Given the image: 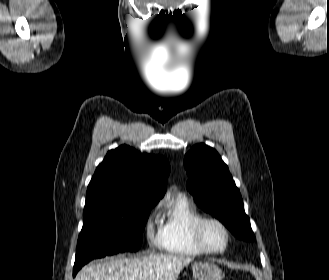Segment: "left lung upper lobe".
Segmentation results:
<instances>
[{"label":"left lung upper lobe","mask_w":329,"mask_h":280,"mask_svg":"<svg viewBox=\"0 0 329 280\" xmlns=\"http://www.w3.org/2000/svg\"><path fill=\"white\" fill-rule=\"evenodd\" d=\"M184 167L190 177L187 189L197 206L212 213L237 238L253 241L255 236L241 194L217 151L197 144L185 155Z\"/></svg>","instance_id":"left-lung-upper-lobe-1"}]
</instances>
